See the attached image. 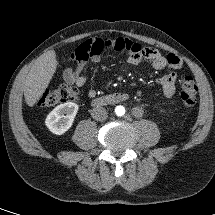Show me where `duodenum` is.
Listing matches in <instances>:
<instances>
[{
    "instance_id": "1",
    "label": "duodenum",
    "mask_w": 215,
    "mask_h": 215,
    "mask_svg": "<svg viewBox=\"0 0 215 215\" xmlns=\"http://www.w3.org/2000/svg\"><path fill=\"white\" fill-rule=\"evenodd\" d=\"M129 98L128 94L125 92H117L108 94L105 96L98 97L93 100L94 106H106L111 104H118L124 101H127Z\"/></svg>"
}]
</instances>
